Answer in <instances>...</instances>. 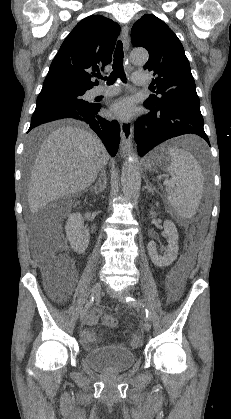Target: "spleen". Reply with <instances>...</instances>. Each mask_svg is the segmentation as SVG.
Listing matches in <instances>:
<instances>
[{"instance_id": "3e777b00", "label": "spleen", "mask_w": 231, "mask_h": 419, "mask_svg": "<svg viewBox=\"0 0 231 419\" xmlns=\"http://www.w3.org/2000/svg\"><path fill=\"white\" fill-rule=\"evenodd\" d=\"M170 158L168 171L172 176L168 183V202L183 218H192L199 207L203 193V174L194 156L187 150L172 147L166 149Z\"/></svg>"}]
</instances>
